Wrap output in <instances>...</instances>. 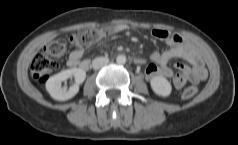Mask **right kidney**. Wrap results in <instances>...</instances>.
<instances>
[{
  "label": "right kidney",
  "mask_w": 238,
  "mask_h": 145,
  "mask_svg": "<svg viewBox=\"0 0 238 145\" xmlns=\"http://www.w3.org/2000/svg\"><path fill=\"white\" fill-rule=\"evenodd\" d=\"M74 77L75 84L69 89L66 86H61L63 81L68 78ZM86 78V72L80 68H71L63 70L52 77L46 82V90L50 96L58 101H65L74 97L79 91V85L84 82Z\"/></svg>",
  "instance_id": "right-kidney-1"
}]
</instances>
